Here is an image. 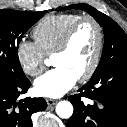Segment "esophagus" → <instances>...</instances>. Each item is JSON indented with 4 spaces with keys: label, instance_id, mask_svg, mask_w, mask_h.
Segmentation results:
<instances>
[{
    "label": "esophagus",
    "instance_id": "esophagus-1",
    "mask_svg": "<svg viewBox=\"0 0 127 127\" xmlns=\"http://www.w3.org/2000/svg\"><path fill=\"white\" fill-rule=\"evenodd\" d=\"M46 102L49 106H52L57 103V100L55 99H46Z\"/></svg>",
    "mask_w": 127,
    "mask_h": 127
}]
</instances>
